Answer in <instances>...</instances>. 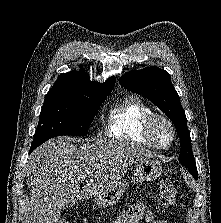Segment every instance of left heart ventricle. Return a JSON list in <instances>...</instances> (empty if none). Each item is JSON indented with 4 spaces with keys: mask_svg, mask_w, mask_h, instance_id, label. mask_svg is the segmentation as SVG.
I'll use <instances>...</instances> for the list:
<instances>
[{
    "mask_svg": "<svg viewBox=\"0 0 221 223\" xmlns=\"http://www.w3.org/2000/svg\"><path fill=\"white\" fill-rule=\"evenodd\" d=\"M155 136L157 140L162 144H168L171 140V133L167 126L162 123H158L155 127Z\"/></svg>",
    "mask_w": 221,
    "mask_h": 223,
    "instance_id": "left-heart-ventricle-1",
    "label": "left heart ventricle"
}]
</instances>
